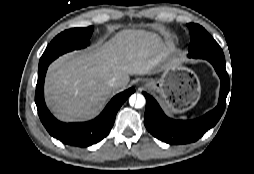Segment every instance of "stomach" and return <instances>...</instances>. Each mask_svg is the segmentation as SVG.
<instances>
[{
	"instance_id": "1",
	"label": "stomach",
	"mask_w": 254,
	"mask_h": 174,
	"mask_svg": "<svg viewBox=\"0 0 254 174\" xmlns=\"http://www.w3.org/2000/svg\"><path fill=\"white\" fill-rule=\"evenodd\" d=\"M150 88L161 95L165 108L173 113L188 111L196 105L201 95L197 75L176 59L165 64L162 76L151 80Z\"/></svg>"
}]
</instances>
